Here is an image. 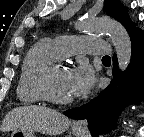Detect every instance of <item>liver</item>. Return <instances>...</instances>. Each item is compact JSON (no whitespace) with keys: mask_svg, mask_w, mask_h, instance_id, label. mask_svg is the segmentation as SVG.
<instances>
[{"mask_svg":"<svg viewBox=\"0 0 144 137\" xmlns=\"http://www.w3.org/2000/svg\"><path fill=\"white\" fill-rule=\"evenodd\" d=\"M71 121L62 113L43 106H23L12 109L2 121L0 130L36 131L47 135H60Z\"/></svg>","mask_w":144,"mask_h":137,"instance_id":"1","label":"liver"}]
</instances>
